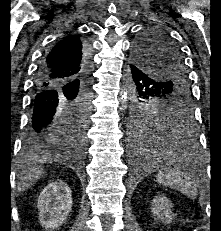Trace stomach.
I'll return each mask as SVG.
<instances>
[{
  "label": "stomach",
  "instance_id": "stomach-1",
  "mask_svg": "<svg viewBox=\"0 0 221 231\" xmlns=\"http://www.w3.org/2000/svg\"><path fill=\"white\" fill-rule=\"evenodd\" d=\"M159 156H160V155H157V157H158L157 159H160V157H159Z\"/></svg>",
  "mask_w": 221,
  "mask_h": 231
}]
</instances>
